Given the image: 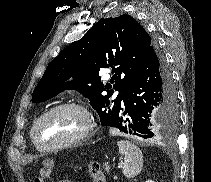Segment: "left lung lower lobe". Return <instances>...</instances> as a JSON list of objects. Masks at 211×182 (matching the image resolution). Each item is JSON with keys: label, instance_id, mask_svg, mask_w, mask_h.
I'll use <instances>...</instances> for the list:
<instances>
[{"label": "left lung lower lobe", "instance_id": "0a47b994", "mask_svg": "<svg viewBox=\"0 0 211 182\" xmlns=\"http://www.w3.org/2000/svg\"><path fill=\"white\" fill-rule=\"evenodd\" d=\"M123 98L124 106L118 112L115 126L120 131L150 139L160 130L170 134L176 130L179 118L176 90L166 59L155 44ZM152 114L157 117L152 118Z\"/></svg>", "mask_w": 211, "mask_h": 182}]
</instances>
